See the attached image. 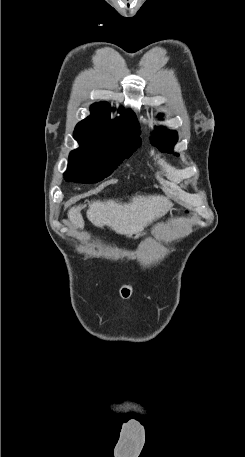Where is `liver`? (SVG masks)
I'll use <instances>...</instances> for the list:
<instances>
[{"label": "liver", "instance_id": "6515ba94", "mask_svg": "<svg viewBox=\"0 0 245 457\" xmlns=\"http://www.w3.org/2000/svg\"><path fill=\"white\" fill-rule=\"evenodd\" d=\"M172 202L166 196H133L131 202H118V200H92L86 210L87 218L95 226H111L119 235H128L143 231L144 226L160 218L167 212ZM85 204L72 206L68 210V218L76 229H84V220L80 214Z\"/></svg>", "mask_w": 245, "mask_h": 457}]
</instances>
